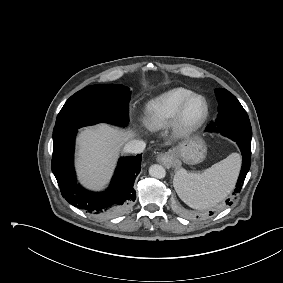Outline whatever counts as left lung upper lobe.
Returning a JSON list of instances; mask_svg holds the SVG:
<instances>
[{"instance_id": "left-lung-upper-lobe-1", "label": "left lung upper lobe", "mask_w": 283, "mask_h": 283, "mask_svg": "<svg viewBox=\"0 0 283 283\" xmlns=\"http://www.w3.org/2000/svg\"><path fill=\"white\" fill-rule=\"evenodd\" d=\"M215 94L219 103L218 116L208 128L220 131L224 136L234 140L251 142L252 129L247 112L237 98L226 89L217 88Z\"/></svg>"}]
</instances>
